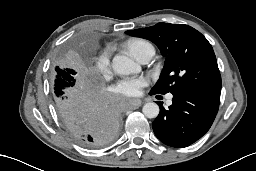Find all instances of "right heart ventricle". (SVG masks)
Returning <instances> with one entry per match:
<instances>
[{"instance_id": "e07e8e85", "label": "right heart ventricle", "mask_w": 256, "mask_h": 171, "mask_svg": "<svg viewBox=\"0 0 256 171\" xmlns=\"http://www.w3.org/2000/svg\"><path fill=\"white\" fill-rule=\"evenodd\" d=\"M126 48L137 60L147 53H155L153 45L149 41L140 38L129 40Z\"/></svg>"}]
</instances>
